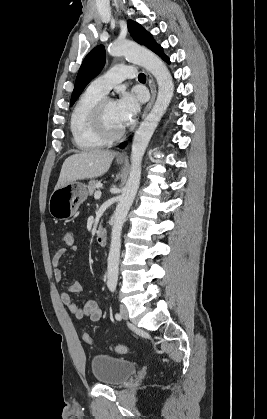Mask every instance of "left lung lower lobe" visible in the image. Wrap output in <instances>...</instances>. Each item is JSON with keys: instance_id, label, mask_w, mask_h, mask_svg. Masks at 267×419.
I'll list each match as a JSON object with an SVG mask.
<instances>
[{"instance_id": "obj_1", "label": "left lung lower lobe", "mask_w": 267, "mask_h": 419, "mask_svg": "<svg viewBox=\"0 0 267 419\" xmlns=\"http://www.w3.org/2000/svg\"><path fill=\"white\" fill-rule=\"evenodd\" d=\"M159 56H161V58L164 60V61H166L167 63H170V60H169V58L163 53V49L161 48L160 50H159V52L157 53ZM126 145V143H122L120 146L121 147H124Z\"/></svg>"}]
</instances>
